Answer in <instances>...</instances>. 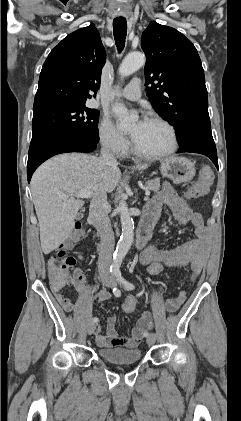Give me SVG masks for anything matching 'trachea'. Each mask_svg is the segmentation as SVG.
I'll list each match as a JSON object with an SVG mask.
<instances>
[{
  "label": "trachea",
  "instance_id": "1",
  "mask_svg": "<svg viewBox=\"0 0 241 421\" xmlns=\"http://www.w3.org/2000/svg\"><path fill=\"white\" fill-rule=\"evenodd\" d=\"M113 33L118 52H121L125 46V39L127 35V22L126 19L113 20Z\"/></svg>",
  "mask_w": 241,
  "mask_h": 421
}]
</instances>
